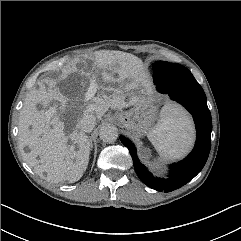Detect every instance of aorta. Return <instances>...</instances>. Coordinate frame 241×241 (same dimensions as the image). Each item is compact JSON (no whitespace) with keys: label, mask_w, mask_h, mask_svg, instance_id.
<instances>
[{"label":"aorta","mask_w":241,"mask_h":241,"mask_svg":"<svg viewBox=\"0 0 241 241\" xmlns=\"http://www.w3.org/2000/svg\"><path fill=\"white\" fill-rule=\"evenodd\" d=\"M100 139L106 143L114 142L118 137V129L113 124H104L100 129Z\"/></svg>","instance_id":"762f6f07"}]
</instances>
